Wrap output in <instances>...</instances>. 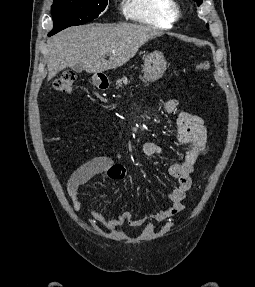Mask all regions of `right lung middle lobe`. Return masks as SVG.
<instances>
[{"label":"right lung middle lobe","instance_id":"dd1d6c3e","mask_svg":"<svg viewBox=\"0 0 255 287\" xmlns=\"http://www.w3.org/2000/svg\"><path fill=\"white\" fill-rule=\"evenodd\" d=\"M107 4V0H54L51 6L54 28L49 34L92 21Z\"/></svg>","mask_w":255,"mask_h":287}]
</instances>
